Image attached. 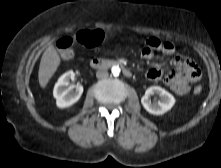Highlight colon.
<instances>
[{
	"mask_svg": "<svg viewBox=\"0 0 221 168\" xmlns=\"http://www.w3.org/2000/svg\"><path fill=\"white\" fill-rule=\"evenodd\" d=\"M77 41L83 46L94 48L99 46L104 41V32L102 30H82L77 33L75 39L71 37H63L57 42V50L60 58L63 61L70 60L73 57L74 43ZM145 45L154 49L161 50L164 44L157 38H148ZM202 92L201 86L194 88L196 95Z\"/></svg>",
	"mask_w": 221,
	"mask_h": 168,
	"instance_id": "5ec220e1",
	"label": "colon"
}]
</instances>
